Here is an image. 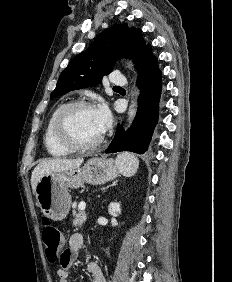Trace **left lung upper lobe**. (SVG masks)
<instances>
[{
  "mask_svg": "<svg viewBox=\"0 0 232 282\" xmlns=\"http://www.w3.org/2000/svg\"><path fill=\"white\" fill-rule=\"evenodd\" d=\"M142 31L127 24L103 31L84 52L78 54L61 73L50 98L72 90L98 85L111 72L116 60L129 58L136 65L146 48Z\"/></svg>",
  "mask_w": 232,
  "mask_h": 282,
  "instance_id": "left-lung-upper-lobe-1",
  "label": "left lung upper lobe"
}]
</instances>
